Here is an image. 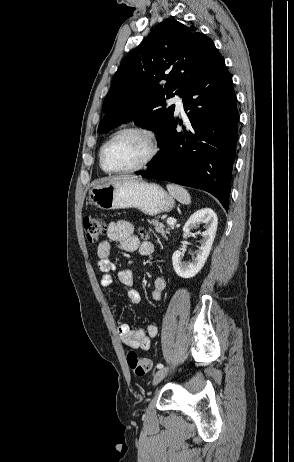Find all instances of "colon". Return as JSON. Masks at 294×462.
Returning <instances> with one entry per match:
<instances>
[{"label":"colon","instance_id":"colon-1","mask_svg":"<svg viewBox=\"0 0 294 462\" xmlns=\"http://www.w3.org/2000/svg\"><path fill=\"white\" fill-rule=\"evenodd\" d=\"M83 224L88 242L97 244L106 230L105 220L102 217L87 216L84 218ZM142 234L146 235L145 232ZM127 362L133 372L139 376L145 375L151 369V361L135 351L128 352Z\"/></svg>","mask_w":294,"mask_h":462}]
</instances>
